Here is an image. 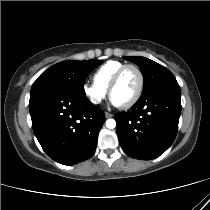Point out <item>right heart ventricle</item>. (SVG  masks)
I'll list each match as a JSON object with an SVG mask.
<instances>
[{
    "label": "right heart ventricle",
    "mask_w": 210,
    "mask_h": 210,
    "mask_svg": "<svg viewBox=\"0 0 210 210\" xmlns=\"http://www.w3.org/2000/svg\"><path fill=\"white\" fill-rule=\"evenodd\" d=\"M125 63L116 60H110L102 64L93 74L94 83L108 90L109 84L116 73V71Z\"/></svg>",
    "instance_id": "e07e8e85"
}]
</instances>
